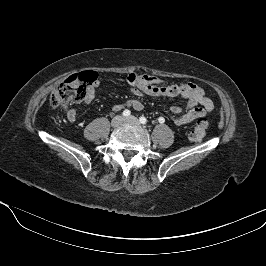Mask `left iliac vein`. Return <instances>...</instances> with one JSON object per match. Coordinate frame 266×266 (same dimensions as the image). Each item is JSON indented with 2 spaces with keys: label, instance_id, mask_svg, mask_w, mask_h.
I'll use <instances>...</instances> for the list:
<instances>
[{
  "label": "left iliac vein",
  "instance_id": "obj_1",
  "mask_svg": "<svg viewBox=\"0 0 266 266\" xmlns=\"http://www.w3.org/2000/svg\"><path fill=\"white\" fill-rule=\"evenodd\" d=\"M125 121L129 122V123L137 124V125L140 124L139 120L134 116H130V117L126 118Z\"/></svg>",
  "mask_w": 266,
  "mask_h": 266
}]
</instances>
